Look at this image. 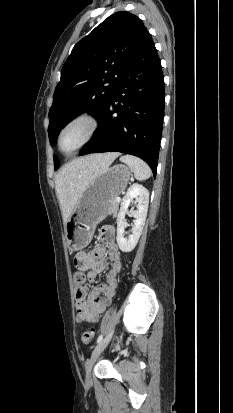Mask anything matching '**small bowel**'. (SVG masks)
I'll use <instances>...</instances> for the list:
<instances>
[{"label": "small bowel", "mask_w": 233, "mask_h": 413, "mask_svg": "<svg viewBox=\"0 0 233 413\" xmlns=\"http://www.w3.org/2000/svg\"><path fill=\"white\" fill-rule=\"evenodd\" d=\"M100 244L88 253H79L75 263L87 271L89 281L104 271L107 267L105 256L111 261V268L104 281L98 286L88 290L86 287L76 288V320L79 323H94L101 313L108 307L117 286V277L122 263L119 248L115 242V228L113 225L104 226L99 234Z\"/></svg>", "instance_id": "small-bowel-1"}]
</instances>
